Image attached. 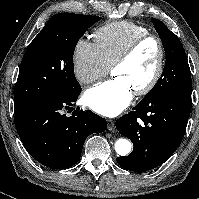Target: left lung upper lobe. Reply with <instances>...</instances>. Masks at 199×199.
<instances>
[{"label": "left lung upper lobe", "instance_id": "left-lung-upper-lobe-1", "mask_svg": "<svg viewBox=\"0 0 199 199\" xmlns=\"http://www.w3.org/2000/svg\"><path fill=\"white\" fill-rule=\"evenodd\" d=\"M152 23L162 40L166 64L159 81L140 102L158 100L177 92L191 93V72L180 39L160 20L152 18Z\"/></svg>", "mask_w": 199, "mask_h": 199}]
</instances>
